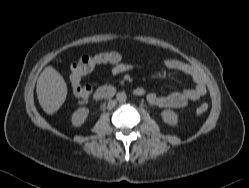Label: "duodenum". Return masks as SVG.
<instances>
[{
	"instance_id": "1",
	"label": "duodenum",
	"mask_w": 249,
	"mask_h": 188,
	"mask_svg": "<svg viewBox=\"0 0 249 188\" xmlns=\"http://www.w3.org/2000/svg\"><path fill=\"white\" fill-rule=\"evenodd\" d=\"M116 89L113 86H101L94 92V98L97 100L107 99L114 96ZM137 95H140L141 91L136 90Z\"/></svg>"
}]
</instances>
